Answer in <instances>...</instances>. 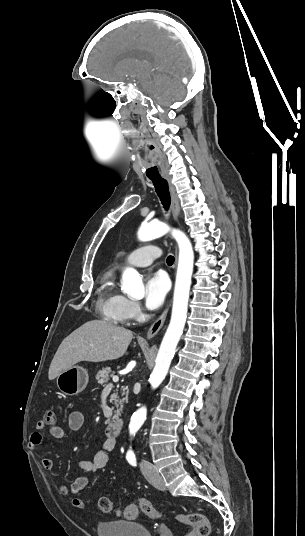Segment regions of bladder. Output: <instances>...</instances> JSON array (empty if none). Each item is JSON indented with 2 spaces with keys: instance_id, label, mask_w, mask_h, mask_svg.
Returning <instances> with one entry per match:
<instances>
[{
  "instance_id": "31cf9c89",
  "label": "bladder",
  "mask_w": 305,
  "mask_h": 536,
  "mask_svg": "<svg viewBox=\"0 0 305 536\" xmlns=\"http://www.w3.org/2000/svg\"><path fill=\"white\" fill-rule=\"evenodd\" d=\"M95 532L97 536H113V533L121 536H153L150 530L140 522L120 518L96 522Z\"/></svg>"
}]
</instances>
